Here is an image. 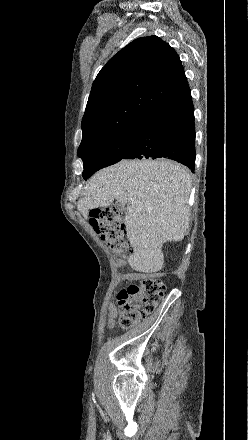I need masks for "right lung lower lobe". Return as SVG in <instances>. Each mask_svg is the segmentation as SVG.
<instances>
[{
    "instance_id": "right-lung-lower-lobe-1",
    "label": "right lung lower lobe",
    "mask_w": 248,
    "mask_h": 440,
    "mask_svg": "<svg viewBox=\"0 0 248 440\" xmlns=\"http://www.w3.org/2000/svg\"><path fill=\"white\" fill-rule=\"evenodd\" d=\"M130 144L122 159L169 158L195 167V125L191 93L168 101L127 127Z\"/></svg>"
}]
</instances>
